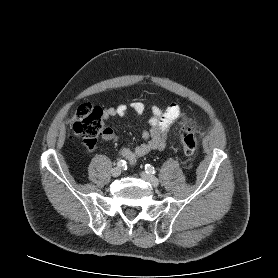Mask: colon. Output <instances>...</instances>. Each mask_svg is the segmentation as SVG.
Here are the masks:
<instances>
[{
	"mask_svg": "<svg viewBox=\"0 0 278 278\" xmlns=\"http://www.w3.org/2000/svg\"><path fill=\"white\" fill-rule=\"evenodd\" d=\"M105 114L103 110L90 103L80 105L73 113L71 127L86 147L93 148L105 131ZM183 152L191 158L197 151V141L193 131L189 127H183L179 132Z\"/></svg>",
	"mask_w": 278,
	"mask_h": 278,
	"instance_id": "obj_1",
	"label": "colon"
}]
</instances>
